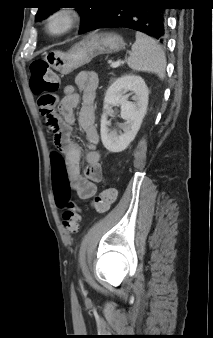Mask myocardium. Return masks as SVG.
Here are the masks:
<instances>
[{"instance_id":"f54148a6","label":"myocardium","mask_w":213,"mask_h":338,"mask_svg":"<svg viewBox=\"0 0 213 338\" xmlns=\"http://www.w3.org/2000/svg\"><path fill=\"white\" fill-rule=\"evenodd\" d=\"M79 21V15L71 9H58L48 15L45 29L51 37H60L72 31Z\"/></svg>"}]
</instances>
